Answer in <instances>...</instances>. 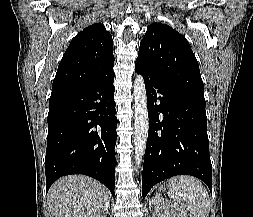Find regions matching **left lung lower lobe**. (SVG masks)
<instances>
[{"label": "left lung lower lobe", "mask_w": 253, "mask_h": 217, "mask_svg": "<svg viewBox=\"0 0 253 217\" xmlns=\"http://www.w3.org/2000/svg\"><path fill=\"white\" fill-rule=\"evenodd\" d=\"M149 131L142 173V196L160 181L181 174L195 176L212 189L205 99L175 88L147 72Z\"/></svg>", "instance_id": "left-lung-lower-lobe-1"}]
</instances>
